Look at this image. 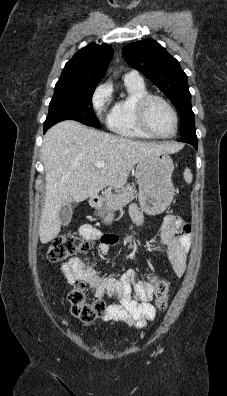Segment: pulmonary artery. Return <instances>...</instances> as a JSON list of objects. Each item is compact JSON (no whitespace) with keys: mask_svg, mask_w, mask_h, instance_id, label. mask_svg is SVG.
<instances>
[{"mask_svg":"<svg viewBox=\"0 0 227 396\" xmlns=\"http://www.w3.org/2000/svg\"><path fill=\"white\" fill-rule=\"evenodd\" d=\"M125 79L127 80H135V81H142V77L138 74L137 71H130L127 74H125Z\"/></svg>","mask_w":227,"mask_h":396,"instance_id":"1","label":"pulmonary artery"}]
</instances>
